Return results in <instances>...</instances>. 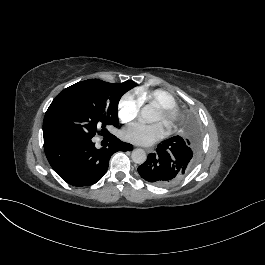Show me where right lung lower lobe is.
I'll list each match as a JSON object with an SVG mask.
<instances>
[{
	"label": "right lung lower lobe",
	"mask_w": 265,
	"mask_h": 265,
	"mask_svg": "<svg viewBox=\"0 0 265 265\" xmlns=\"http://www.w3.org/2000/svg\"><path fill=\"white\" fill-rule=\"evenodd\" d=\"M108 147L95 148L91 138L67 139L44 147L54 171L73 186H89L102 178L111 156L117 151H131L133 146L112 134L105 136Z\"/></svg>",
	"instance_id": "obj_1"
}]
</instances>
